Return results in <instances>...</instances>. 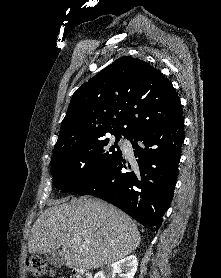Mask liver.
<instances>
[{
    "mask_svg": "<svg viewBox=\"0 0 221 278\" xmlns=\"http://www.w3.org/2000/svg\"><path fill=\"white\" fill-rule=\"evenodd\" d=\"M50 204L31 229V254H47L62 247L66 267L98 269L120 261L140 244L132 219L105 201L82 197Z\"/></svg>",
    "mask_w": 221,
    "mask_h": 278,
    "instance_id": "1",
    "label": "liver"
}]
</instances>
